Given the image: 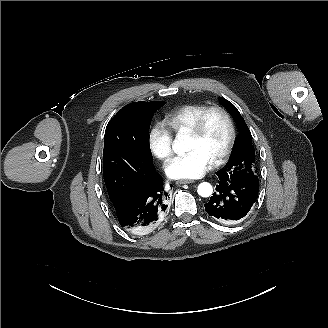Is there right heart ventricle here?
<instances>
[{"mask_svg":"<svg viewBox=\"0 0 328 328\" xmlns=\"http://www.w3.org/2000/svg\"><path fill=\"white\" fill-rule=\"evenodd\" d=\"M208 108L206 104H188L164 116L163 123L174 134L188 132L199 115Z\"/></svg>","mask_w":328,"mask_h":328,"instance_id":"e07e8e85","label":"right heart ventricle"}]
</instances>
